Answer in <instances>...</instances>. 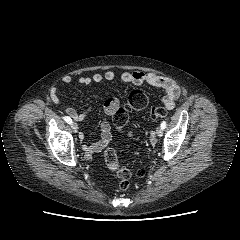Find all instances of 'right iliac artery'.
Segmentation results:
<instances>
[{"mask_svg":"<svg viewBox=\"0 0 240 240\" xmlns=\"http://www.w3.org/2000/svg\"><path fill=\"white\" fill-rule=\"evenodd\" d=\"M64 120L68 123V124H71L72 123V119L68 116H65L64 117Z\"/></svg>","mask_w":240,"mask_h":240,"instance_id":"obj_1","label":"right iliac artery"}]
</instances>
